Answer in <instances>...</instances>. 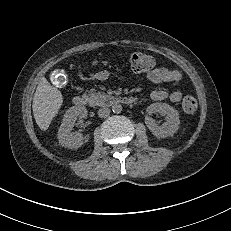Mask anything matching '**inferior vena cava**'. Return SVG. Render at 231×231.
Segmentation results:
<instances>
[{
    "label": "inferior vena cava",
    "instance_id": "602c4592",
    "mask_svg": "<svg viewBox=\"0 0 231 231\" xmlns=\"http://www.w3.org/2000/svg\"><path fill=\"white\" fill-rule=\"evenodd\" d=\"M110 114V109L108 107H102L98 111V115L101 118H106Z\"/></svg>",
    "mask_w": 231,
    "mask_h": 231
}]
</instances>
